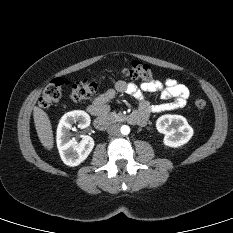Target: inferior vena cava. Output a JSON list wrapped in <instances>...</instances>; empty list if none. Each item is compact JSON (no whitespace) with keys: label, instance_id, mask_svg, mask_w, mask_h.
<instances>
[{"label":"inferior vena cava","instance_id":"1","mask_svg":"<svg viewBox=\"0 0 233 233\" xmlns=\"http://www.w3.org/2000/svg\"><path fill=\"white\" fill-rule=\"evenodd\" d=\"M119 125L118 124H111L108 128H107V133L110 135H116L119 133Z\"/></svg>","mask_w":233,"mask_h":233}]
</instances>
